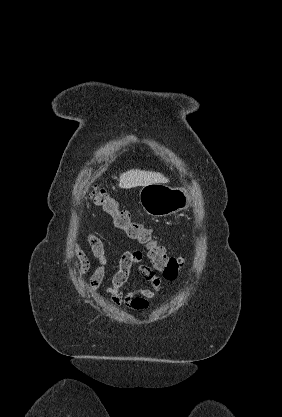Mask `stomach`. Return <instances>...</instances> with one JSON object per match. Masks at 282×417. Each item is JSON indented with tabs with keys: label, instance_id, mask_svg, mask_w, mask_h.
<instances>
[{
	"label": "stomach",
	"instance_id": "0dacf381",
	"mask_svg": "<svg viewBox=\"0 0 282 417\" xmlns=\"http://www.w3.org/2000/svg\"><path fill=\"white\" fill-rule=\"evenodd\" d=\"M139 202L147 215L166 217L188 209L189 198L183 188H171L166 184H145L139 192Z\"/></svg>",
	"mask_w": 282,
	"mask_h": 417
}]
</instances>
